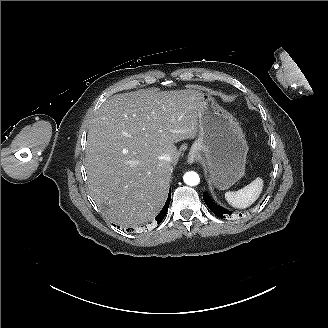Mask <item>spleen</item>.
<instances>
[{
	"label": "spleen",
	"instance_id": "obj_1",
	"mask_svg": "<svg viewBox=\"0 0 328 328\" xmlns=\"http://www.w3.org/2000/svg\"><path fill=\"white\" fill-rule=\"evenodd\" d=\"M263 182L261 178H256L238 191H227L225 198L236 208H246L250 206L262 191Z\"/></svg>",
	"mask_w": 328,
	"mask_h": 328
}]
</instances>
